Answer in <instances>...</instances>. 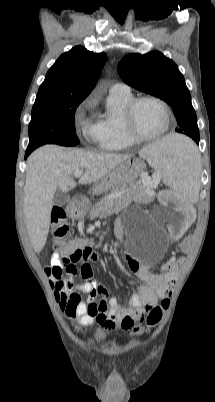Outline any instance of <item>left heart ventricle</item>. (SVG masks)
I'll use <instances>...</instances> for the list:
<instances>
[{
    "label": "left heart ventricle",
    "mask_w": 215,
    "mask_h": 402,
    "mask_svg": "<svg viewBox=\"0 0 215 402\" xmlns=\"http://www.w3.org/2000/svg\"><path fill=\"white\" fill-rule=\"evenodd\" d=\"M137 130L144 135H155L161 132L166 125L164 110L155 102L140 103L135 113Z\"/></svg>",
    "instance_id": "1"
}]
</instances>
